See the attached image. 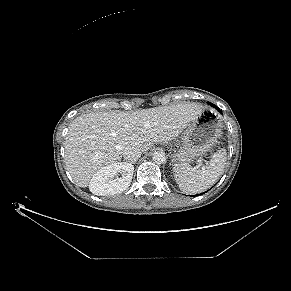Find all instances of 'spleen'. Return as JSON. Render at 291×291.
Returning <instances> with one entry per match:
<instances>
[{"mask_svg":"<svg viewBox=\"0 0 291 291\" xmlns=\"http://www.w3.org/2000/svg\"><path fill=\"white\" fill-rule=\"evenodd\" d=\"M227 159L226 149L214 153L206 168H192L187 163L174 166V177L185 194H197L209 189L224 171Z\"/></svg>","mask_w":291,"mask_h":291,"instance_id":"3e777b00","label":"spleen"}]
</instances>
